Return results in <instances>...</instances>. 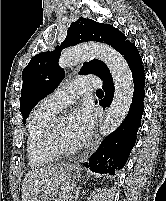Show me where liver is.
I'll list each match as a JSON object with an SVG mask.
<instances>
[{
    "mask_svg": "<svg viewBox=\"0 0 166 201\" xmlns=\"http://www.w3.org/2000/svg\"><path fill=\"white\" fill-rule=\"evenodd\" d=\"M67 164H59L38 168L28 172L22 183V201H37L42 186L58 171Z\"/></svg>",
    "mask_w": 166,
    "mask_h": 201,
    "instance_id": "6515ba94",
    "label": "liver"
}]
</instances>
